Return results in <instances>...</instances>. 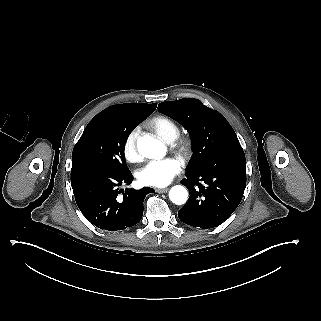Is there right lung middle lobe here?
Here are the masks:
<instances>
[{"label": "right lung middle lobe", "mask_w": 321, "mask_h": 321, "mask_svg": "<svg viewBox=\"0 0 321 321\" xmlns=\"http://www.w3.org/2000/svg\"><path fill=\"white\" fill-rule=\"evenodd\" d=\"M122 122L105 113L97 114L86 126L72 153V166L94 165L125 172L124 147L128 136L138 125Z\"/></svg>", "instance_id": "dd1d6c3e"}]
</instances>
